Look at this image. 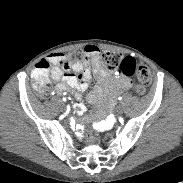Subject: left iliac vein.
Here are the masks:
<instances>
[{"instance_id":"obj_1","label":"left iliac vein","mask_w":183,"mask_h":183,"mask_svg":"<svg viewBox=\"0 0 183 183\" xmlns=\"http://www.w3.org/2000/svg\"><path fill=\"white\" fill-rule=\"evenodd\" d=\"M116 111H117L119 114H121L122 111H123L122 106L118 105V106L116 107Z\"/></svg>"}]
</instances>
